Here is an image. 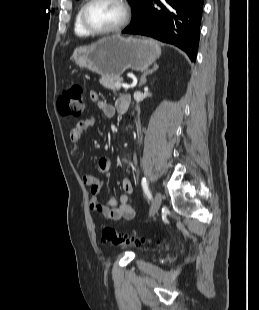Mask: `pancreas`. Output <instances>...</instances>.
Masks as SVG:
<instances>
[{
    "instance_id": "obj_1",
    "label": "pancreas",
    "mask_w": 259,
    "mask_h": 310,
    "mask_svg": "<svg viewBox=\"0 0 259 310\" xmlns=\"http://www.w3.org/2000/svg\"><path fill=\"white\" fill-rule=\"evenodd\" d=\"M122 80L123 78L120 76H104L100 79V84L109 90L116 91L115 84Z\"/></svg>"
}]
</instances>
